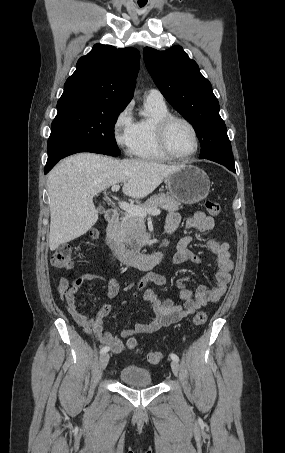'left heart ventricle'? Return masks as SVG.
<instances>
[{
    "mask_svg": "<svg viewBox=\"0 0 285 453\" xmlns=\"http://www.w3.org/2000/svg\"><path fill=\"white\" fill-rule=\"evenodd\" d=\"M168 139L172 151L179 155L189 154L195 147L192 131L182 122H174L172 124Z\"/></svg>",
    "mask_w": 285,
    "mask_h": 453,
    "instance_id": "1",
    "label": "left heart ventricle"
}]
</instances>
